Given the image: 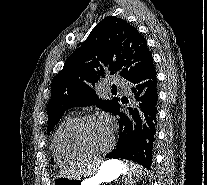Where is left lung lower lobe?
<instances>
[{"instance_id":"left-lung-lower-lobe-1","label":"left lung lower lobe","mask_w":207,"mask_h":185,"mask_svg":"<svg viewBox=\"0 0 207 185\" xmlns=\"http://www.w3.org/2000/svg\"><path fill=\"white\" fill-rule=\"evenodd\" d=\"M136 102L127 107L128 114L118 112L120 133L116 147L106 158L132 160L150 169L156 145L157 126V76L152 64L145 72L130 81ZM123 104L128 99H121Z\"/></svg>"}]
</instances>
